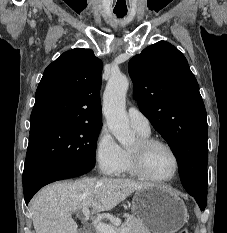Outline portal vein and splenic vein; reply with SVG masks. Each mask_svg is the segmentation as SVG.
Segmentation results:
<instances>
[{
    "mask_svg": "<svg viewBox=\"0 0 227 233\" xmlns=\"http://www.w3.org/2000/svg\"><path fill=\"white\" fill-rule=\"evenodd\" d=\"M82 212L86 218L90 217V210L87 207L82 209ZM92 219V224L94 225L95 229L98 231L97 233H117L110 225L102 223L100 220ZM129 228H123L120 233H128Z\"/></svg>",
    "mask_w": 227,
    "mask_h": 233,
    "instance_id": "1",
    "label": "portal vein and splenic vein"
}]
</instances>
